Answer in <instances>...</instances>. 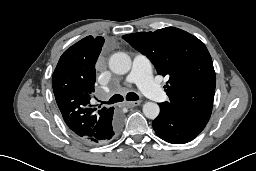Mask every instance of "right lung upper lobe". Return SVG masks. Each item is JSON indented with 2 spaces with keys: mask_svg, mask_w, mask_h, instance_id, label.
Here are the masks:
<instances>
[{
  "mask_svg": "<svg viewBox=\"0 0 256 171\" xmlns=\"http://www.w3.org/2000/svg\"><path fill=\"white\" fill-rule=\"evenodd\" d=\"M103 37L87 36L67 49L53 73L52 86L58 108L80 139L97 137L114 114V108L91 105L96 81L95 63Z\"/></svg>",
  "mask_w": 256,
  "mask_h": 171,
  "instance_id": "right-lung-upper-lobe-1",
  "label": "right lung upper lobe"
}]
</instances>
